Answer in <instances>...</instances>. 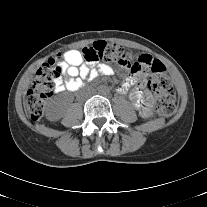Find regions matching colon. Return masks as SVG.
I'll return each instance as SVG.
<instances>
[{"mask_svg": "<svg viewBox=\"0 0 207 207\" xmlns=\"http://www.w3.org/2000/svg\"><path fill=\"white\" fill-rule=\"evenodd\" d=\"M83 56L88 63L112 62L121 67L138 72L150 71L148 87L155 93V109L161 116H171L176 107L172 82L162 62L143 53L134 55L124 47L106 41H97L84 48ZM59 56L49 59L37 71L34 81L27 91L25 109L28 117L39 120L44 113L48 99L53 93L56 81L61 76Z\"/></svg>", "mask_w": 207, "mask_h": 207, "instance_id": "5ec220e1", "label": "colon"}]
</instances>
